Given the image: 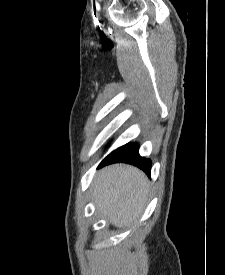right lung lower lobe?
Listing matches in <instances>:
<instances>
[{"label": "right lung lower lobe", "mask_w": 225, "mask_h": 275, "mask_svg": "<svg viewBox=\"0 0 225 275\" xmlns=\"http://www.w3.org/2000/svg\"><path fill=\"white\" fill-rule=\"evenodd\" d=\"M118 162L133 164L147 174H150L151 162L139 155L138 145L136 143H129L116 149L102 161L100 166Z\"/></svg>", "instance_id": "right-lung-lower-lobe-1"}]
</instances>
